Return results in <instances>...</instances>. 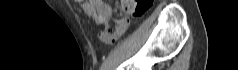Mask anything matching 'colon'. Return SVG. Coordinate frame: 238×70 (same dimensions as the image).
Here are the masks:
<instances>
[{"instance_id":"1","label":"colon","mask_w":238,"mask_h":70,"mask_svg":"<svg viewBox=\"0 0 238 70\" xmlns=\"http://www.w3.org/2000/svg\"><path fill=\"white\" fill-rule=\"evenodd\" d=\"M81 3L85 12L90 15L96 23L100 24L105 21L103 15L98 11L93 1L77 0ZM152 4V0H123L122 5L124 10L132 17L137 18L142 16Z\"/></svg>"}]
</instances>
